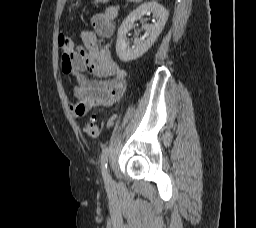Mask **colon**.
<instances>
[{
  "label": "colon",
  "instance_id": "5ec220e1",
  "mask_svg": "<svg viewBox=\"0 0 256 228\" xmlns=\"http://www.w3.org/2000/svg\"><path fill=\"white\" fill-rule=\"evenodd\" d=\"M107 1L108 0H94V4L97 5L100 3L107 2ZM59 45L66 55H72L74 53L75 47H74L72 40L69 37L61 35L59 37ZM85 132L91 138H96L99 136L100 128L97 124L95 117H91L88 120V122L85 126Z\"/></svg>",
  "mask_w": 256,
  "mask_h": 228
}]
</instances>
